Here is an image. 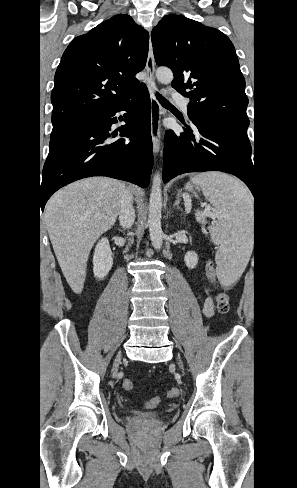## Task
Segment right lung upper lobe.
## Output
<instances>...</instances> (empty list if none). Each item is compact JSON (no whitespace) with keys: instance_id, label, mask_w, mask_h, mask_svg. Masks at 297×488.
<instances>
[{"instance_id":"1","label":"right lung upper lobe","mask_w":297,"mask_h":488,"mask_svg":"<svg viewBox=\"0 0 297 488\" xmlns=\"http://www.w3.org/2000/svg\"><path fill=\"white\" fill-rule=\"evenodd\" d=\"M148 32L127 14L100 23L65 50L51 93L53 132H63L122 103L138 88Z\"/></svg>"}]
</instances>
